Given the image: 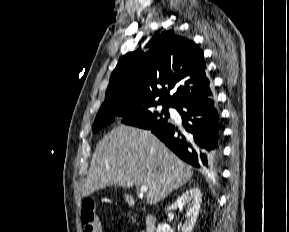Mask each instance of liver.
<instances>
[{
	"instance_id": "liver-1",
	"label": "liver",
	"mask_w": 289,
	"mask_h": 232,
	"mask_svg": "<svg viewBox=\"0 0 289 232\" xmlns=\"http://www.w3.org/2000/svg\"><path fill=\"white\" fill-rule=\"evenodd\" d=\"M193 171L150 131L129 126L112 129L97 144L82 197L117 185L147 186L146 201L157 204L185 185Z\"/></svg>"
}]
</instances>
